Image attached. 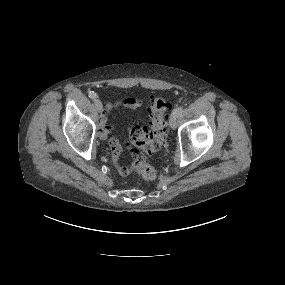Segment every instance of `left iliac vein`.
Listing matches in <instances>:
<instances>
[{"instance_id": "left-iliac-vein-1", "label": "left iliac vein", "mask_w": 285, "mask_h": 285, "mask_svg": "<svg viewBox=\"0 0 285 285\" xmlns=\"http://www.w3.org/2000/svg\"><path fill=\"white\" fill-rule=\"evenodd\" d=\"M177 117L175 114H172L171 117H170V127L172 129H175L176 126H177Z\"/></svg>"}]
</instances>
